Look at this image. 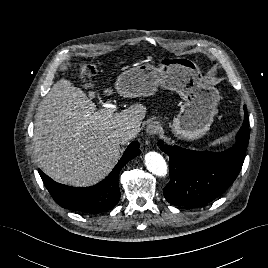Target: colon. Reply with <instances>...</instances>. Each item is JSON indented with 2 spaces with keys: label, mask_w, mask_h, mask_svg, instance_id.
I'll use <instances>...</instances> for the list:
<instances>
[{
  "label": "colon",
  "mask_w": 268,
  "mask_h": 268,
  "mask_svg": "<svg viewBox=\"0 0 268 268\" xmlns=\"http://www.w3.org/2000/svg\"><path fill=\"white\" fill-rule=\"evenodd\" d=\"M97 66L93 62H83L79 65L78 76L80 80L85 81L95 74Z\"/></svg>",
  "instance_id": "1"
}]
</instances>
